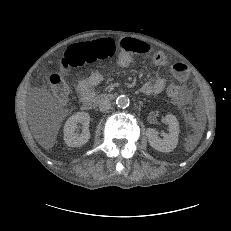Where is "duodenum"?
<instances>
[{
	"instance_id": "410a0bca",
	"label": "duodenum",
	"mask_w": 231,
	"mask_h": 231,
	"mask_svg": "<svg viewBox=\"0 0 231 231\" xmlns=\"http://www.w3.org/2000/svg\"><path fill=\"white\" fill-rule=\"evenodd\" d=\"M115 98H116V94H114V93H104V94L97 96L96 98L84 100L83 101V107L86 110H91V109L95 108V106L97 104L102 103L104 101L113 100Z\"/></svg>"
}]
</instances>
